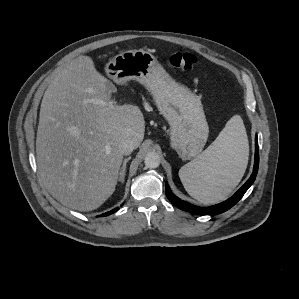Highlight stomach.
Here are the masks:
<instances>
[{
  "label": "stomach",
  "instance_id": "obj_1",
  "mask_svg": "<svg viewBox=\"0 0 299 299\" xmlns=\"http://www.w3.org/2000/svg\"><path fill=\"white\" fill-rule=\"evenodd\" d=\"M105 72L117 84L136 80L146 87L170 125V145L181 159L201 154L209 127L200 98L173 80L150 52H122L106 64Z\"/></svg>",
  "mask_w": 299,
  "mask_h": 299
}]
</instances>
